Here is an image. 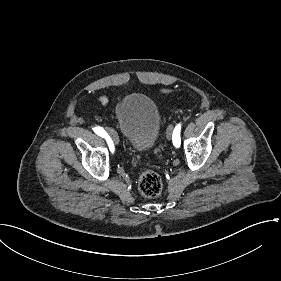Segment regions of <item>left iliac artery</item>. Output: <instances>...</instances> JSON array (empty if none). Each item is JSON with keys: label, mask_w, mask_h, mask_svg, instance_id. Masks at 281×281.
<instances>
[{"label": "left iliac artery", "mask_w": 281, "mask_h": 281, "mask_svg": "<svg viewBox=\"0 0 281 281\" xmlns=\"http://www.w3.org/2000/svg\"><path fill=\"white\" fill-rule=\"evenodd\" d=\"M180 130H181V124H177V126L173 131V136H172L173 144L175 147H179L181 143Z\"/></svg>", "instance_id": "1"}]
</instances>
